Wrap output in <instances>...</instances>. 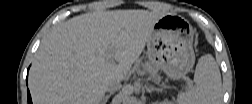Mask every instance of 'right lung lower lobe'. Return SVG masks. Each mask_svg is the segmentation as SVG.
I'll return each mask as SVG.
<instances>
[{"label": "right lung lower lobe", "mask_w": 252, "mask_h": 104, "mask_svg": "<svg viewBox=\"0 0 252 104\" xmlns=\"http://www.w3.org/2000/svg\"><path fill=\"white\" fill-rule=\"evenodd\" d=\"M27 94H28V104H32L29 90L27 91Z\"/></svg>", "instance_id": "obj_1"}]
</instances>
